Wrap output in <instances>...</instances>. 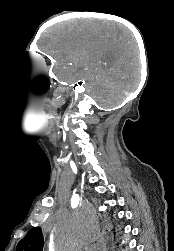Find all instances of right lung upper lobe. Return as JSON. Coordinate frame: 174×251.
<instances>
[{"mask_svg": "<svg viewBox=\"0 0 174 251\" xmlns=\"http://www.w3.org/2000/svg\"><path fill=\"white\" fill-rule=\"evenodd\" d=\"M43 236L40 227L31 229L18 243L16 251H42Z\"/></svg>", "mask_w": 174, "mask_h": 251, "instance_id": "right-lung-upper-lobe-1", "label": "right lung upper lobe"}]
</instances>
